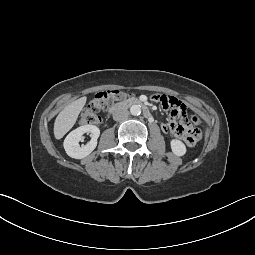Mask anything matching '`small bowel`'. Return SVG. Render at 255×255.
<instances>
[{"mask_svg":"<svg viewBox=\"0 0 255 255\" xmlns=\"http://www.w3.org/2000/svg\"><path fill=\"white\" fill-rule=\"evenodd\" d=\"M170 97L177 101V106L174 105V101ZM170 97H165L161 101L162 108L171 116L167 123L162 124V130L172 133L177 141L185 145L196 146L199 142L198 129L186 115V105L176 97Z\"/></svg>","mask_w":255,"mask_h":255,"instance_id":"c3829d8e","label":"small bowel"}]
</instances>
